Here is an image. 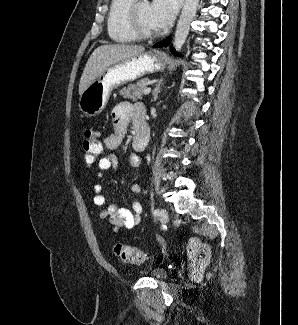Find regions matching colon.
Instances as JSON below:
<instances>
[{
	"instance_id": "1",
	"label": "colon",
	"mask_w": 298,
	"mask_h": 325,
	"mask_svg": "<svg viewBox=\"0 0 298 325\" xmlns=\"http://www.w3.org/2000/svg\"><path fill=\"white\" fill-rule=\"evenodd\" d=\"M103 150L100 133L92 128H87L83 134L82 157L87 165L96 161ZM116 256L127 264L139 265L145 262V255L139 249L125 245L116 244L114 247ZM187 253L194 274L200 276L210 260L209 247L198 239H192L187 246Z\"/></svg>"
}]
</instances>
